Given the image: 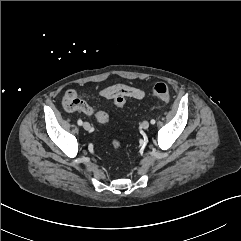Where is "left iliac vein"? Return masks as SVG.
Returning <instances> with one entry per match:
<instances>
[{
    "instance_id": "obj_1",
    "label": "left iliac vein",
    "mask_w": 241,
    "mask_h": 241,
    "mask_svg": "<svg viewBox=\"0 0 241 241\" xmlns=\"http://www.w3.org/2000/svg\"><path fill=\"white\" fill-rule=\"evenodd\" d=\"M149 122L148 121H143L142 122V124H141V127L143 128V129H148L149 128Z\"/></svg>"
}]
</instances>
